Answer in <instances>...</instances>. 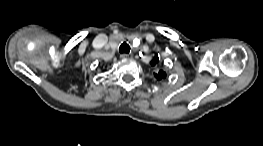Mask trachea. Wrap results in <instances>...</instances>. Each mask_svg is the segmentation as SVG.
Returning a JSON list of instances; mask_svg holds the SVG:
<instances>
[{"label":"trachea","instance_id":"trachea-1","mask_svg":"<svg viewBox=\"0 0 263 146\" xmlns=\"http://www.w3.org/2000/svg\"><path fill=\"white\" fill-rule=\"evenodd\" d=\"M119 52L120 53H129L130 52V46L126 42L122 43L119 47Z\"/></svg>","mask_w":263,"mask_h":146}]
</instances>
